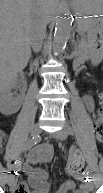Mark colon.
<instances>
[{
  "mask_svg": "<svg viewBox=\"0 0 103 193\" xmlns=\"http://www.w3.org/2000/svg\"><path fill=\"white\" fill-rule=\"evenodd\" d=\"M100 103L103 102L102 94L98 95ZM96 127V136L99 142L103 141V121H102V110L98 111V117L95 123ZM68 169L73 174H83L85 172V163L80 152L75 151L72 153L69 162ZM25 193H28L27 191Z\"/></svg>",
  "mask_w": 103,
  "mask_h": 193,
  "instance_id": "1",
  "label": "colon"
}]
</instances>
